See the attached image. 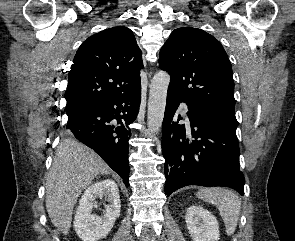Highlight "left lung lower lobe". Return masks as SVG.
Returning a JSON list of instances; mask_svg holds the SVG:
<instances>
[{"label":"left lung lower lobe","instance_id":"0a47b994","mask_svg":"<svg viewBox=\"0 0 295 241\" xmlns=\"http://www.w3.org/2000/svg\"><path fill=\"white\" fill-rule=\"evenodd\" d=\"M182 100L167 92L162 125V153L165 158V194L188 185L225 186L244 194V175L239 169L236 128L188 108L193 139L175 115ZM180 117V115L178 116Z\"/></svg>","mask_w":295,"mask_h":241}]
</instances>
